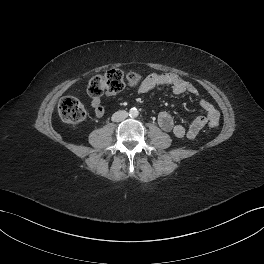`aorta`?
I'll return each mask as SVG.
<instances>
[{
  "instance_id": "762f6f07",
  "label": "aorta",
  "mask_w": 264,
  "mask_h": 264,
  "mask_svg": "<svg viewBox=\"0 0 264 264\" xmlns=\"http://www.w3.org/2000/svg\"><path fill=\"white\" fill-rule=\"evenodd\" d=\"M139 115V111L137 108H131L129 111V116L130 117H137Z\"/></svg>"
}]
</instances>
